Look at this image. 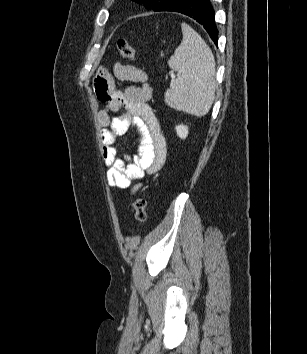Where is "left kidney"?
Segmentation results:
<instances>
[{"label": "left kidney", "mask_w": 307, "mask_h": 354, "mask_svg": "<svg viewBox=\"0 0 307 354\" xmlns=\"http://www.w3.org/2000/svg\"><path fill=\"white\" fill-rule=\"evenodd\" d=\"M176 133L177 135L181 138V139H185L188 136V127L186 125H178L175 127Z\"/></svg>", "instance_id": "left-kidney-1"}]
</instances>
